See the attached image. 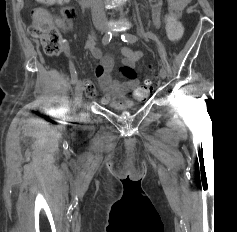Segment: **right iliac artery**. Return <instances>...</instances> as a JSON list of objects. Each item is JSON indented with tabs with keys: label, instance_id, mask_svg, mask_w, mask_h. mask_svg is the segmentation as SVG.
<instances>
[{
	"label": "right iliac artery",
	"instance_id": "82829eb1",
	"mask_svg": "<svg viewBox=\"0 0 237 232\" xmlns=\"http://www.w3.org/2000/svg\"><path fill=\"white\" fill-rule=\"evenodd\" d=\"M111 38H112L111 32H107L102 38V43L104 45L108 44L110 42ZM69 69H70V74H71V78H72V83L76 84L77 83V73H76L75 67H74L71 59L69 60Z\"/></svg>",
	"mask_w": 237,
	"mask_h": 232
}]
</instances>
